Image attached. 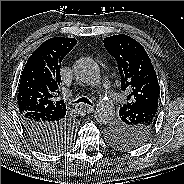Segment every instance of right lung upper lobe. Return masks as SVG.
I'll return each instance as SVG.
<instances>
[{"label":"right lung upper lobe","mask_w":184,"mask_h":184,"mask_svg":"<svg viewBox=\"0 0 184 184\" xmlns=\"http://www.w3.org/2000/svg\"><path fill=\"white\" fill-rule=\"evenodd\" d=\"M77 44L74 38L46 40L29 57L20 78L18 106L20 114L41 113L47 118L66 115L64 101H57L63 58Z\"/></svg>","instance_id":"obj_1"}]
</instances>
